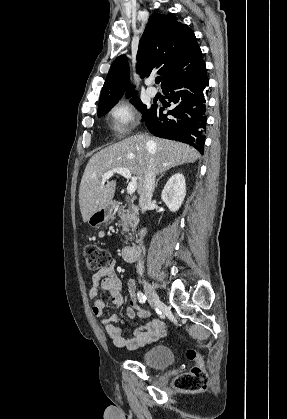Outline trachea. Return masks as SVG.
Here are the masks:
<instances>
[{"mask_svg": "<svg viewBox=\"0 0 287 419\" xmlns=\"http://www.w3.org/2000/svg\"><path fill=\"white\" fill-rule=\"evenodd\" d=\"M155 82H156V84H159V83L161 82V77H157V78L155 79Z\"/></svg>", "mask_w": 287, "mask_h": 419, "instance_id": "obj_1", "label": "trachea"}]
</instances>
